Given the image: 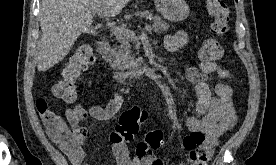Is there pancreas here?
<instances>
[{
    "label": "pancreas",
    "instance_id": "obj_1",
    "mask_svg": "<svg viewBox=\"0 0 276 165\" xmlns=\"http://www.w3.org/2000/svg\"><path fill=\"white\" fill-rule=\"evenodd\" d=\"M150 19L153 21L152 29L156 33H162L166 31L170 25L163 22L160 16L150 15ZM117 41L120 45L110 49L107 52V61L110 62L111 67L116 70L131 69L135 66V60L131 56V45L132 39L116 35Z\"/></svg>",
    "mask_w": 276,
    "mask_h": 165
}]
</instances>
